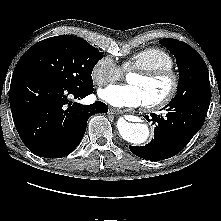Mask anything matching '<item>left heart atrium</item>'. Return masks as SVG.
I'll return each instance as SVG.
<instances>
[{
    "instance_id": "left-heart-atrium-1",
    "label": "left heart atrium",
    "mask_w": 221,
    "mask_h": 221,
    "mask_svg": "<svg viewBox=\"0 0 221 221\" xmlns=\"http://www.w3.org/2000/svg\"><path fill=\"white\" fill-rule=\"evenodd\" d=\"M99 97L116 107L134 108L144 105V98L133 84L110 85L99 91Z\"/></svg>"
}]
</instances>
